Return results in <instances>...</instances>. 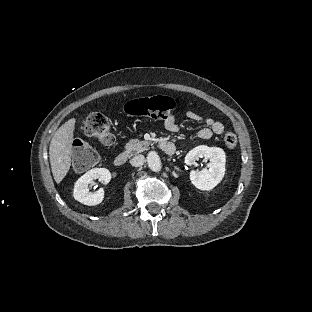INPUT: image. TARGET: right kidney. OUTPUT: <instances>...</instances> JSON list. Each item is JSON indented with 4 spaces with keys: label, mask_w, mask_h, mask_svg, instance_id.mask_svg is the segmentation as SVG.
<instances>
[{
    "label": "right kidney",
    "mask_w": 312,
    "mask_h": 312,
    "mask_svg": "<svg viewBox=\"0 0 312 312\" xmlns=\"http://www.w3.org/2000/svg\"><path fill=\"white\" fill-rule=\"evenodd\" d=\"M107 184L111 180V173L106 168H93L81 176L74 185L73 196L75 200L88 206H94L102 202L104 198L103 188L95 192L89 191V184L95 185L94 180Z\"/></svg>",
    "instance_id": "1"
}]
</instances>
